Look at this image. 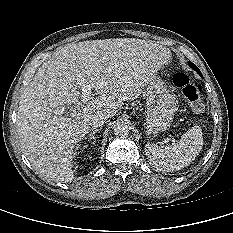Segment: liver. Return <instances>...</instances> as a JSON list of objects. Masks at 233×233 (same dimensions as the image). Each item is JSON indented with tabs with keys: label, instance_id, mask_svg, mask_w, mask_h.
I'll return each instance as SVG.
<instances>
[{
	"label": "liver",
	"instance_id": "6515ba94",
	"mask_svg": "<svg viewBox=\"0 0 233 233\" xmlns=\"http://www.w3.org/2000/svg\"><path fill=\"white\" fill-rule=\"evenodd\" d=\"M170 57L166 48L135 38L88 40L64 46L44 62L23 91L17 132L24 154L42 177L70 182L74 149L89 133V117L107 119L137 98ZM84 78L98 97L79 100ZM67 107L64 114L58 110Z\"/></svg>",
	"mask_w": 233,
	"mask_h": 233
}]
</instances>
